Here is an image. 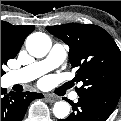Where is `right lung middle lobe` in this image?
Instances as JSON below:
<instances>
[{"mask_svg":"<svg viewBox=\"0 0 121 121\" xmlns=\"http://www.w3.org/2000/svg\"><path fill=\"white\" fill-rule=\"evenodd\" d=\"M16 55L17 53L12 51L6 42L1 41V76L5 73L2 69V65L7 64V61Z\"/></svg>","mask_w":121,"mask_h":121,"instance_id":"1","label":"right lung middle lobe"}]
</instances>
